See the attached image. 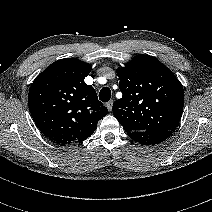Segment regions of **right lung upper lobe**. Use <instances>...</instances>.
Wrapping results in <instances>:
<instances>
[{"mask_svg":"<svg viewBox=\"0 0 212 212\" xmlns=\"http://www.w3.org/2000/svg\"><path fill=\"white\" fill-rule=\"evenodd\" d=\"M91 66L76 58L52 63L32 83L28 104L39 130L59 145L90 137L108 109L84 82Z\"/></svg>","mask_w":212,"mask_h":212,"instance_id":"right-lung-upper-lobe-1","label":"right lung upper lobe"}]
</instances>
